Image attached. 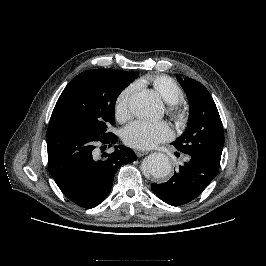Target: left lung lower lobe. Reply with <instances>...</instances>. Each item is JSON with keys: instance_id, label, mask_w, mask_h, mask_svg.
<instances>
[{"instance_id": "1", "label": "left lung lower lobe", "mask_w": 266, "mask_h": 266, "mask_svg": "<svg viewBox=\"0 0 266 266\" xmlns=\"http://www.w3.org/2000/svg\"><path fill=\"white\" fill-rule=\"evenodd\" d=\"M218 171V166L190 155L171 179L162 184H152V189L165 203L180 206L199 196Z\"/></svg>"}]
</instances>
